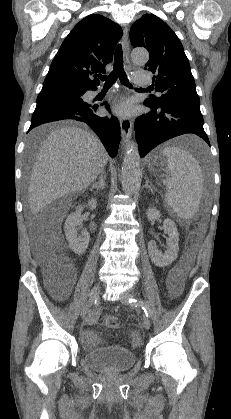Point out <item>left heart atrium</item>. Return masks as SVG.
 Segmentation results:
<instances>
[{
  "instance_id": "39dd6f15",
  "label": "left heart atrium",
  "mask_w": 231,
  "mask_h": 419,
  "mask_svg": "<svg viewBox=\"0 0 231 419\" xmlns=\"http://www.w3.org/2000/svg\"><path fill=\"white\" fill-rule=\"evenodd\" d=\"M131 112H132V106L127 101H124V102L119 103L114 108V113L117 116H121V117L129 116L131 114Z\"/></svg>"
}]
</instances>
